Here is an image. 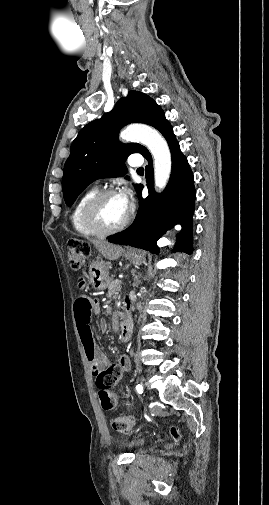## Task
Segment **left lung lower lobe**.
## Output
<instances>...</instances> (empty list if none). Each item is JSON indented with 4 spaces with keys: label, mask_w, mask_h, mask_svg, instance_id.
Here are the masks:
<instances>
[{
    "label": "left lung lower lobe",
    "mask_w": 269,
    "mask_h": 505,
    "mask_svg": "<svg viewBox=\"0 0 269 505\" xmlns=\"http://www.w3.org/2000/svg\"><path fill=\"white\" fill-rule=\"evenodd\" d=\"M165 137L172 155V172L169 183L161 194L154 191V172L152 157L147 152L144 157L149 196L141 197L142 185H139V209L134 223L122 233L109 239L110 242L130 245L158 253V239L175 224L182 225L177 235L175 251L192 252V222L196 192L191 168L180 151V146L168 120L163 117L154 126Z\"/></svg>",
    "instance_id": "0a47b994"
}]
</instances>
